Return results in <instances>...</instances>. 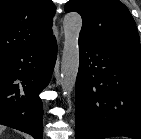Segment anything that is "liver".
Wrapping results in <instances>:
<instances>
[{
    "mask_svg": "<svg viewBox=\"0 0 141 139\" xmlns=\"http://www.w3.org/2000/svg\"><path fill=\"white\" fill-rule=\"evenodd\" d=\"M4 129H5V127L0 125V134L3 132Z\"/></svg>",
    "mask_w": 141,
    "mask_h": 139,
    "instance_id": "obj_1",
    "label": "liver"
}]
</instances>
